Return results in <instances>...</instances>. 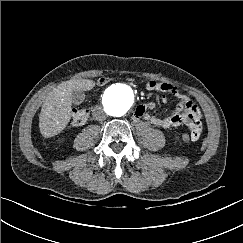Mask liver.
Returning <instances> with one entry per match:
<instances>
[{"label": "liver", "instance_id": "obj_1", "mask_svg": "<svg viewBox=\"0 0 243 243\" xmlns=\"http://www.w3.org/2000/svg\"><path fill=\"white\" fill-rule=\"evenodd\" d=\"M85 82L70 80L53 89L42 104L39 128L43 137L49 138L62 132L70 121L72 93L82 91Z\"/></svg>", "mask_w": 243, "mask_h": 243}]
</instances>
